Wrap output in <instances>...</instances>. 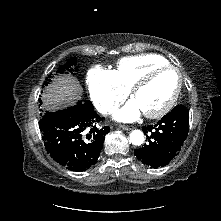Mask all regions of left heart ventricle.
<instances>
[{"instance_id":"1","label":"left heart ventricle","mask_w":221,"mask_h":221,"mask_svg":"<svg viewBox=\"0 0 221 221\" xmlns=\"http://www.w3.org/2000/svg\"><path fill=\"white\" fill-rule=\"evenodd\" d=\"M178 83V76L172 70L159 72L134 96L143 112H154L162 108L172 97Z\"/></svg>"}]
</instances>
